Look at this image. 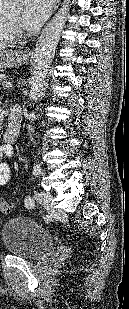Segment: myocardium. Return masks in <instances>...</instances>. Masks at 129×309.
Segmentation results:
<instances>
[{"mask_svg": "<svg viewBox=\"0 0 129 309\" xmlns=\"http://www.w3.org/2000/svg\"><path fill=\"white\" fill-rule=\"evenodd\" d=\"M5 23L14 37H19L22 34V29L17 27L7 16L4 15Z\"/></svg>", "mask_w": 129, "mask_h": 309, "instance_id": "myocardium-1", "label": "myocardium"}]
</instances>
